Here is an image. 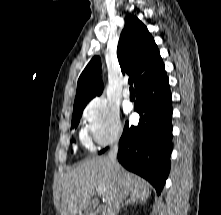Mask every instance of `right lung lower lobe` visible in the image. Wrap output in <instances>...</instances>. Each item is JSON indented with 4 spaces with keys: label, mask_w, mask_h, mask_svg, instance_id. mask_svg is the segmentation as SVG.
<instances>
[{
    "label": "right lung lower lobe",
    "mask_w": 221,
    "mask_h": 215,
    "mask_svg": "<svg viewBox=\"0 0 221 215\" xmlns=\"http://www.w3.org/2000/svg\"><path fill=\"white\" fill-rule=\"evenodd\" d=\"M135 89L134 110L140 114V120L136 127L125 123L118 160L126 169L148 180L159 195L170 171L172 152L173 110L165 70Z\"/></svg>",
    "instance_id": "obj_1"
}]
</instances>
